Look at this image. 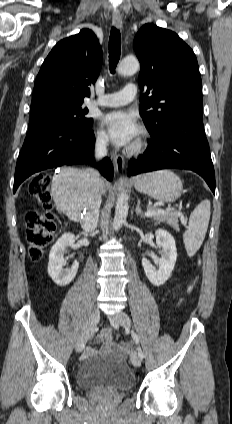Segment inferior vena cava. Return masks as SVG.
I'll return each mask as SVG.
<instances>
[{
  "label": "inferior vena cava",
  "mask_w": 232,
  "mask_h": 424,
  "mask_svg": "<svg viewBox=\"0 0 232 424\" xmlns=\"http://www.w3.org/2000/svg\"><path fill=\"white\" fill-rule=\"evenodd\" d=\"M107 155V141L99 139L95 145V156L97 159H101ZM86 175L91 181V189L88 194V203L83 211L80 219V224L85 231L89 233L93 231L99 220V209L101 204V186L102 181L99 177V173L92 168L86 170Z\"/></svg>",
  "instance_id": "inferior-vena-cava-1"
}]
</instances>
